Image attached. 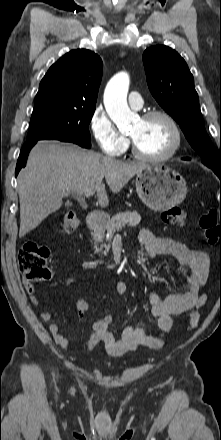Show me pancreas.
<instances>
[{
    "label": "pancreas",
    "instance_id": "1",
    "mask_svg": "<svg viewBox=\"0 0 221 440\" xmlns=\"http://www.w3.org/2000/svg\"><path fill=\"white\" fill-rule=\"evenodd\" d=\"M141 221V215L137 211H125L117 213L111 220H109L105 226L97 229L92 233L93 240L97 242H103L105 238V231L108 232L109 237L107 241H111L113 234L120 231L123 227L130 226L135 227ZM97 248V247H95ZM109 247H106L105 254L108 252Z\"/></svg>",
    "mask_w": 221,
    "mask_h": 440
}]
</instances>
